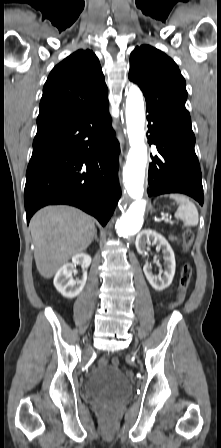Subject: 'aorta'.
I'll use <instances>...</instances> for the list:
<instances>
[{"label": "aorta", "mask_w": 221, "mask_h": 448, "mask_svg": "<svg viewBox=\"0 0 221 448\" xmlns=\"http://www.w3.org/2000/svg\"><path fill=\"white\" fill-rule=\"evenodd\" d=\"M145 111L140 89L131 85L126 99V124L130 150L123 171L124 186L134 202L116 222L119 236L138 232L143 224L146 201L143 200L147 147L144 142Z\"/></svg>", "instance_id": "aorta-1"}]
</instances>
